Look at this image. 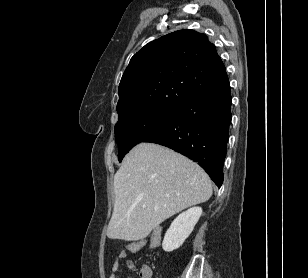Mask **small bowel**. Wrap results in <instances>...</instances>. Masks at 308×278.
I'll return each instance as SVG.
<instances>
[{
  "label": "small bowel",
  "mask_w": 308,
  "mask_h": 278,
  "mask_svg": "<svg viewBox=\"0 0 308 278\" xmlns=\"http://www.w3.org/2000/svg\"><path fill=\"white\" fill-rule=\"evenodd\" d=\"M142 248V247H141ZM127 257V251L126 250H122L118 256L115 258L110 274H109V278H116V272L119 270L120 268V262L122 259H125ZM138 274L140 278H152V270L150 267L148 266H143L138 270Z\"/></svg>",
  "instance_id": "c3829d8e"
}]
</instances>
